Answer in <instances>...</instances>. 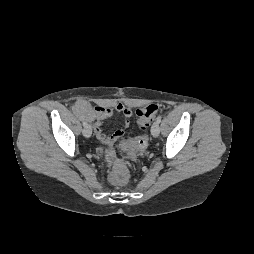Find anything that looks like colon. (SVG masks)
<instances>
[{
	"instance_id": "colon-1",
	"label": "colon",
	"mask_w": 254,
	"mask_h": 254,
	"mask_svg": "<svg viewBox=\"0 0 254 254\" xmlns=\"http://www.w3.org/2000/svg\"><path fill=\"white\" fill-rule=\"evenodd\" d=\"M157 112L158 107L154 104L143 106L136 110L138 123L142 129L145 130L150 126ZM147 144L148 137L142 134L136 138L124 141L122 147L128 153L136 154L144 150ZM112 181L120 185L125 184L127 182V174L123 170L118 169L112 174Z\"/></svg>"
}]
</instances>
